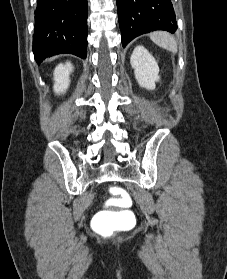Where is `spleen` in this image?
Returning a JSON list of instances; mask_svg holds the SVG:
<instances>
[{
    "label": "spleen",
    "instance_id": "1",
    "mask_svg": "<svg viewBox=\"0 0 227 279\" xmlns=\"http://www.w3.org/2000/svg\"><path fill=\"white\" fill-rule=\"evenodd\" d=\"M151 40L158 46L172 52H177V42L175 38L167 32L157 31L150 35Z\"/></svg>",
    "mask_w": 227,
    "mask_h": 279
}]
</instances>
